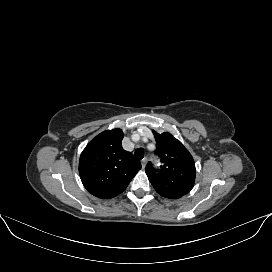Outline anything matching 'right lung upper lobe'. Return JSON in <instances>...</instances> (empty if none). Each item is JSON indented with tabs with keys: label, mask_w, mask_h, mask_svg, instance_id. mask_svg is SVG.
I'll return each instance as SVG.
<instances>
[{
	"label": "right lung upper lobe",
	"mask_w": 272,
	"mask_h": 272,
	"mask_svg": "<svg viewBox=\"0 0 272 272\" xmlns=\"http://www.w3.org/2000/svg\"><path fill=\"white\" fill-rule=\"evenodd\" d=\"M121 129L106 130L88 143L80 156L79 174L92 195L109 199L122 193L141 169L139 161L123 150Z\"/></svg>",
	"instance_id": "cb5924a9"
}]
</instances>
